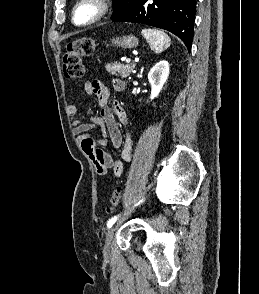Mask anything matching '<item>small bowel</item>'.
Masks as SVG:
<instances>
[{
  "instance_id": "small-bowel-1",
  "label": "small bowel",
  "mask_w": 259,
  "mask_h": 294,
  "mask_svg": "<svg viewBox=\"0 0 259 294\" xmlns=\"http://www.w3.org/2000/svg\"><path fill=\"white\" fill-rule=\"evenodd\" d=\"M112 86L116 92H121L125 88V83L120 79H114ZM84 89L87 94L97 97L100 115L91 117L86 121L74 120L72 123V133L79 139L81 148L93 162L98 174L104 175L108 169L112 168L114 175L119 177L123 173V161L127 162L131 159L132 138L128 130L125 134L122 133L114 119V115L127 127L128 119L126 112L119 103H109L110 91L101 81H87L84 84ZM77 113V106H68V114L71 118H75ZM95 128H100L104 135L99 141H95L89 135V132ZM108 142L115 149H120V159L114 160L110 154L97 148V145L105 146Z\"/></svg>"
}]
</instances>
